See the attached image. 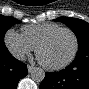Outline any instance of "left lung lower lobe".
Returning a JSON list of instances; mask_svg holds the SVG:
<instances>
[{
  "label": "left lung lower lobe",
  "instance_id": "1",
  "mask_svg": "<svg viewBox=\"0 0 89 89\" xmlns=\"http://www.w3.org/2000/svg\"><path fill=\"white\" fill-rule=\"evenodd\" d=\"M40 89H89V49L77 52L66 69L46 72Z\"/></svg>",
  "mask_w": 89,
  "mask_h": 89
}]
</instances>
